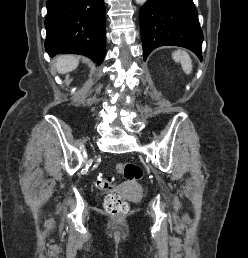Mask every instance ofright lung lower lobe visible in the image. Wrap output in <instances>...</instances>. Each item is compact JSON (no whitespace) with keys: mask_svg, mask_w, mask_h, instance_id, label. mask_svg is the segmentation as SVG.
<instances>
[{"mask_svg":"<svg viewBox=\"0 0 248 258\" xmlns=\"http://www.w3.org/2000/svg\"><path fill=\"white\" fill-rule=\"evenodd\" d=\"M45 49L50 56L76 53L98 65L104 59V0H48Z\"/></svg>","mask_w":248,"mask_h":258,"instance_id":"98d812e1","label":"right lung lower lobe"}]
</instances>
